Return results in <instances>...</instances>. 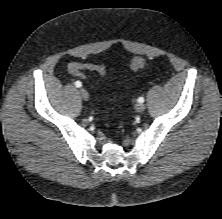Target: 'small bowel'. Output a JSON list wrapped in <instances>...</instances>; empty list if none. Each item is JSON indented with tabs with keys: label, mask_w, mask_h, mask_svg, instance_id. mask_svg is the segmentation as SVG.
<instances>
[{
	"label": "small bowel",
	"mask_w": 222,
	"mask_h": 219,
	"mask_svg": "<svg viewBox=\"0 0 222 219\" xmlns=\"http://www.w3.org/2000/svg\"><path fill=\"white\" fill-rule=\"evenodd\" d=\"M95 64L92 63H81V62H73L69 64L68 70L69 72L77 77L84 78L83 71H93L92 67Z\"/></svg>",
	"instance_id": "small-bowel-1"
}]
</instances>
